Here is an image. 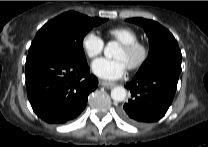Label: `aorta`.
Returning a JSON list of instances; mask_svg holds the SVG:
<instances>
[{
  "mask_svg": "<svg viewBox=\"0 0 208 147\" xmlns=\"http://www.w3.org/2000/svg\"><path fill=\"white\" fill-rule=\"evenodd\" d=\"M118 49V43L111 41L107 43L106 47L104 48V55L106 58H112L114 56V53ZM126 89L122 86L114 87L111 90V97L114 101L121 102L125 100L126 98Z\"/></svg>",
  "mask_w": 208,
  "mask_h": 147,
  "instance_id": "1",
  "label": "aorta"
}]
</instances>
